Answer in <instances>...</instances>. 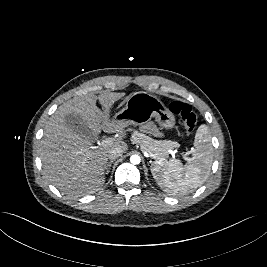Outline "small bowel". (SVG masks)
<instances>
[{
	"label": "small bowel",
	"instance_id": "c3829d8e",
	"mask_svg": "<svg viewBox=\"0 0 267 267\" xmlns=\"http://www.w3.org/2000/svg\"><path fill=\"white\" fill-rule=\"evenodd\" d=\"M145 130L150 132V133H152V134H157L158 133L156 127L153 124H147L145 126Z\"/></svg>",
	"mask_w": 267,
	"mask_h": 267
}]
</instances>
